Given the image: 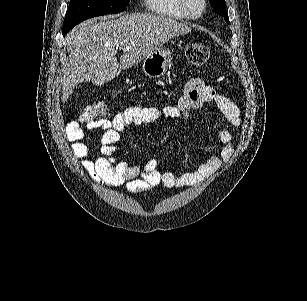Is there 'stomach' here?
<instances>
[{"label":"stomach","instance_id":"1","mask_svg":"<svg viewBox=\"0 0 307 301\" xmlns=\"http://www.w3.org/2000/svg\"><path fill=\"white\" fill-rule=\"evenodd\" d=\"M172 58L169 48H158L144 58L142 70L149 78H160L168 70Z\"/></svg>","mask_w":307,"mask_h":301}]
</instances>
